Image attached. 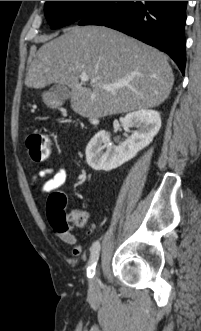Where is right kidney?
<instances>
[{"mask_svg": "<svg viewBox=\"0 0 201 331\" xmlns=\"http://www.w3.org/2000/svg\"><path fill=\"white\" fill-rule=\"evenodd\" d=\"M123 126L125 129L136 126L138 130L119 146L110 142V135L105 130L90 140L86 147V161L92 169L111 171L134 158L153 141L161 127V118L157 111L138 110L125 116Z\"/></svg>", "mask_w": 201, "mask_h": 331, "instance_id": "obj_1", "label": "right kidney"}]
</instances>
